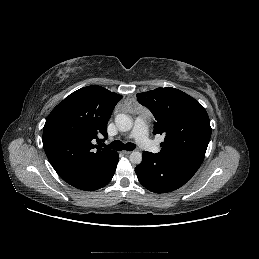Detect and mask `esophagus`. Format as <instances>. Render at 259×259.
Returning a JSON list of instances; mask_svg holds the SVG:
<instances>
[{
	"mask_svg": "<svg viewBox=\"0 0 259 259\" xmlns=\"http://www.w3.org/2000/svg\"><path fill=\"white\" fill-rule=\"evenodd\" d=\"M130 153H131V151H127V150L123 151V154L126 155V156L129 155Z\"/></svg>",
	"mask_w": 259,
	"mask_h": 259,
	"instance_id": "34e87169",
	"label": "esophagus"
}]
</instances>
